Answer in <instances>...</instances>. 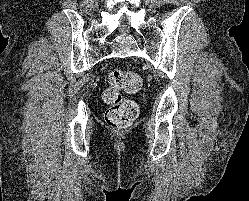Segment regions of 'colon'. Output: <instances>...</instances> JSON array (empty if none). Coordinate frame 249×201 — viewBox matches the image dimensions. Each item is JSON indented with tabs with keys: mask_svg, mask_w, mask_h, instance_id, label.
Returning <instances> with one entry per match:
<instances>
[{
	"mask_svg": "<svg viewBox=\"0 0 249 201\" xmlns=\"http://www.w3.org/2000/svg\"><path fill=\"white\" fill-rule=\"evenodd\" d=\"M108 83L103 92V100L109 105L105 122L112 129L125 130L136 120L139 108L135 101L123 97L121 91H137L141 87V78L134 72L116 69L109 73Z\"/></svg>",
	"mask_w": 249,
	"mask_h": 201,
	"instance_id": "5ec220e1",
	"label": "colon"
}]
</instances>
